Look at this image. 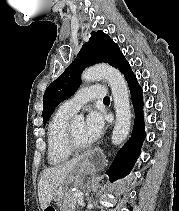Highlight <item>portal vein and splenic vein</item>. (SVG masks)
I'll use <instances>...</instances> for the list:
<instances>
[{
    "instance_id": "portal-vein-and-splenic-vein-1",
    "label": "portal vein and splenic vein",
    "mask_w": 179,
    "mask_h": 211,
    "mask_svg": "<svg viewBox=\"0 0 179 211\" xmlns=\"http://www.w3.org/2000/svg\"><path fill=\"white\" fill-rule=\"evenodd\" d=\"M81 195H82L81 192H76V193L74 194V196H76V197H80Z\"/></svg>"
}]
</instances>
